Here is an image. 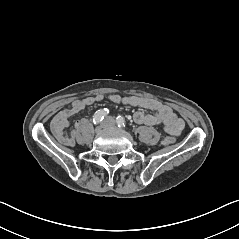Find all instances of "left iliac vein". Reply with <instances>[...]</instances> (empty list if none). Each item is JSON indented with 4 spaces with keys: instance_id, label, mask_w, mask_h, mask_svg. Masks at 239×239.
Listing matches in <instances>:
<instances>
[{
    "instance_id": "1",
    "label": "left iliac vein",
    "mask_w": 239,
    "mask_h": 239,
    "mask_svg": "<svg viewBox=\"0 0 239 239\" xmlns=\"http://www.w3.org/2000/svg\"><path fill=\"white\" fill-rule=\"evenodd\" d=\"M107 121H108L111 125H114V120H113L111 117H108V118H107Z\"/></svg>"
}]
</instances>
